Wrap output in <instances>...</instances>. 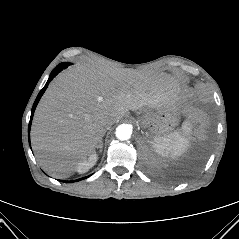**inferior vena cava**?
Listing matches in <instances>:
<instances>
[{
	"instance_id": "inferior-vena-cava-1",
	"label": "inferior vena cava",
	"mask_w": 239,
	"mask_h": 239,
	"mask_svg": "<svg viewBox=\"0 0 239 239\" xmlns=\"http://www.w3.org/2000/svg\"><path fill=\"white\" fill-rule=\"evenodd\" d=\"M115 123V120L113 118H108L104 121L103 125L105 127L111 126Z\"/></svg>"
}]
</instances>
